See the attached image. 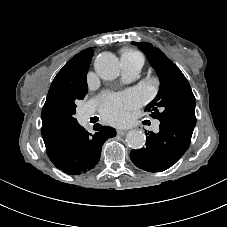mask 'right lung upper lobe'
<instances>
[{
  "label": "right lung upper lobe",
  "instance_id": "1",
  "mask_svg": "<svg viewBox=\"0 0 227 227\" xmlns=\"http://www.w3.org/2000/svg\"><path fill=\"white\" fill-rule=\"evenodd\" d=\"M93 53V48L90 47L73 56L57 73L49 92L61 88L88 89L86 75Z\"/></svg>",
  "mask_w": 227,
  "mask_h": 227
}]
</instances>
